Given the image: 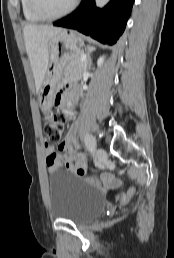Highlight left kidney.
Masks as SVG:
<instances>
[{"mask_svg":"<svg viewBox=\"0 0 174 258\" xmlns=\"http://www.w3.org/2000/svg\"><path fill=\"white\" fill-rule=\"evenodd\" d=\"M103 61H104V57L102 56V57H100V58L98 59L97 65H98V66H101V65L103 64Z\"/></svg>","mask_w":174,"mask_h":258,"instance_id":"left-kidney-1","label":"left kidney"}]
</instances>
